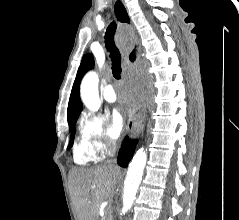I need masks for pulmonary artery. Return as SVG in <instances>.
<instances>
[{
  "mask_svg": "<svg viewBox=\"0 0 239 220\" xmlns=\"http://www.w3.org/2000/svg\"><path fill=\"white\" fill-rule=\"evenodd\" d=\"M103 96L104 99L108 102H115L117 100V95L115 93L113 85L109 84L105 87Z\"/></svg>",
  "mask_w": 239,
  "mask_h": 220,
  "instance_id": "pulmonary-artery-1",
  "label": "pulmonary artery"
}]
</instances>
